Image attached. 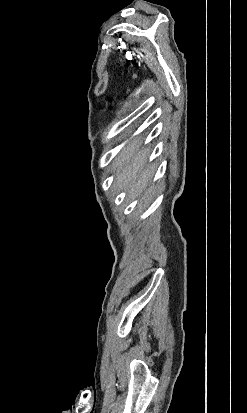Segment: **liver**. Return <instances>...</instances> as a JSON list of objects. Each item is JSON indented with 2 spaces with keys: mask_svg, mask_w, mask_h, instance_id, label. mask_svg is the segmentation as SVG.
<instances>
[{
  "mask_svg": "<svg viewBox=\"0 0 247 413\" xmlns=\"http://www.w3.org/2000/svg\"><path fill=\"white\" fill-rule=\"evenodd\" d=\"M142 144L140 136L133 138L118 156L115 158L113 170L116 172L114 180L117 190H128V196L134 200L137 198L153 178L156 170L154 162L146 164L149 156V148H140ZM152 186L148 188L142 198H149L148 194H152Z\"/></svg>",
  "mask_w": 247,
  "mask_h": 413,
  "instance_id": "1",
  "label": "liver"
}]
</instances>
